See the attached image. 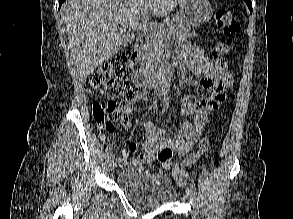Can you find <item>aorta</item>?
Masks as SVG:
<instances>
[{"label": "aorta", "mask_w": 293, "mask_h": 219, "mask_svg": "<svg viewBox=\"0 0 293 219\" xmlns=\"http://www.w3.org/2000/svg\"><path fill=\"white\" fill-rule=\"evenodd\" d=\"M161 83H162V85H163V89H164V90L168 88V83H167V81H166L165 78L162 77V81H161Z\"/></svg>", "instance_id": "762f6f07"}]
</instances>
